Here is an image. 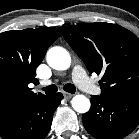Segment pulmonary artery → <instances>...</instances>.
Instances as JSON below:
<instances>
[{
  "label": "pulmonary artery",
  "mask_w": 139,
  "mask_h": 139,
  "mask_svg": "<svg viewBox=\"0 0 139 139\" xmlns=\"http://www.w3.org/2000/svg\"><path fill=\"white\" fill-rule=\"evenodd\" d=\"M74 82L80 89L90 94H99L100 88L96 86L87 76L86 72L81 66H75L72 72ZM50 82L45 81L43 84L48 85Z\"/></svg>",
  "instance_id": "obj_1"
}]
</instances>
